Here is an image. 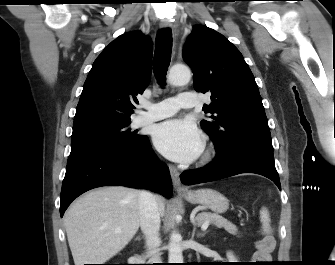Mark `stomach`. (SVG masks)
Listing matches in <instances>:
<instances>
[{
    "instance_id": "stomach-1",
    "label": "stomach",
    "mask_w": 335,
    "mask_h": 265,
    "mask_svg": "<svg viewBox=\"0 0 335 265\" xmlns=\"http://www.w3.org/2000/svg\"><path fill=\"white\" fill-rule=\"evenodd\" d=\"M183 197L189 203L204 205L217 214L226 212L229 207L228 199L213 189L189 191L183 194Z\"/></svg>"
}]
</instances>
